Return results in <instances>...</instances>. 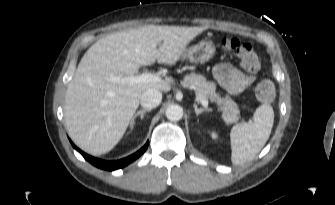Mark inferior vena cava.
<instances>
[{"label": "inferior vena cava", "mask_w": 335, "mask_h": 205, "mask_svg": "<svg viewBox=\"0 0 335 205\" xmlns=\"http://www.w3.org/2000/svg\"><path fill=\"white\" fill-rule=\"evenodd\" d=\"M162 100V93L155 88H149L144 91L140 97V104L145 109H153L157 107Z\"/></svg>", "instance_id": "inferior-vena-cava-1"}]
</instances>
